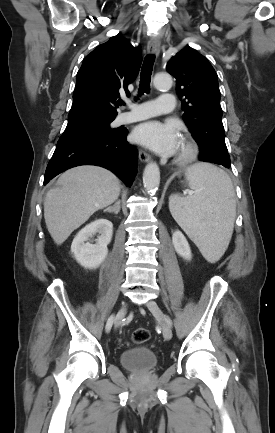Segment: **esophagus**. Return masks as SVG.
Here are the masks:
<instances>
[{
    "mask_svg": "<svg viewBox=\"0 0 275 433\" xmlns=\"http://www.w3.org/2000/svg\"><path fill=\"white\" fill-rule=\"evenodd\" d=\"M147 51L149 54H153L155 56H158L160 53V39L158 36H153L147 45ZM139 159L141 162H149L151 160V156L146 153L144 150L138 151Z\"/></svg>",
    "mask_w": 275,
    "mask_h": 433,
    "instance_id": "esophagus-1",
    "label": "esophagus"
}]
</instances>
